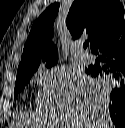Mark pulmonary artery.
<instances>
[{
  "label": "pulmonary artery",
  "instance_id": "obj_1",
  "mask_svg": "<svg viewBox=\"0 0 125 128\" xmlns=\"http://www.w3.org/2000/svg\"><path fill=\"white\" fill-rule=\"evenodd\" d=\"M92 60V57L87 53L81 52V54L79 55V61L81 63L89 64L92 62Z\"/></svg>",
  "mask_w": 125,
  "mask_h": 128
}]
</instances>
